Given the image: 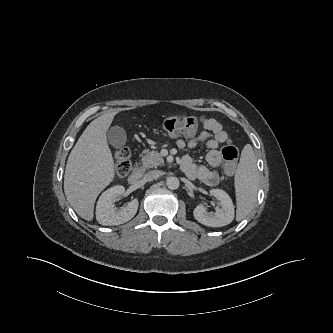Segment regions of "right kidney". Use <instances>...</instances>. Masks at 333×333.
Returning <instances> with one entry per match:
<instances>
[{
	"mask_svg": "<svg viewBox=\"0 0 333 333\" xmlns=\"http://www.w3.org/2000/svg\"><path fill=\"white\" fill-rule=\"evenodd\" d=\"M125 192L121 185L111 187L99 197L96 206V219L101 225L114 226L126 223L132 219L138 209V200L135 198L126 207L120 210L114 207L115 200Z\"/></svg>",
	"mask_w": 333,
	"mask_h": 333,
	"instance_id": "right-kidney-1",
	"label": "right kidney"
}]
</instances>
